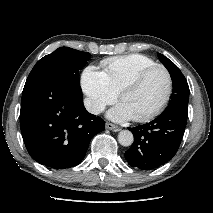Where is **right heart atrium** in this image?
<instances>
[{
    "instance_id": "d8ad5b80",
    "label": "right heart atrium",
    "mask_w": 213,
    "mask_h": 213,
    "mask_svg": "<svg viewBox=\"0 0 213 213\" xmlns=\"http://www.w3.org/2000/svg\"><path fill=\"white\" fill-rule=\"evenodd\" d=\"M81 87L86 96V106L91 113H100L117 99V93L110 87L104 73L95 66H88L83 70Z\"/></svg>"
}]
</instances>
